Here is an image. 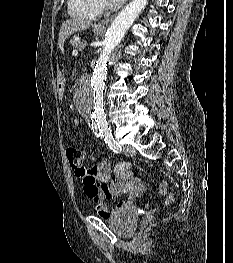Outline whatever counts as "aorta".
I'll list each match as a JSON object with an SVG mask.
<instances>
[{
  "instance_id": "762f6f07",
  "label": "aorta",
  "mask_w": 233,
  "mask_h": 263,
  "mask_svg": "<svg viewBox=\"0 0 233 263\" xmlns=\"http://www.w3.org/2000/svg\"><path fill=\"white\" fill-rule=\"evenodd\" d=\"M148 0H132L113 20L108 28L104 47L89 80L77 92L76 104L80 113L100 131L108 130L104 107V86L107 78V62L113 49L121 42Z\"/></svg>"
}]
</instances>
